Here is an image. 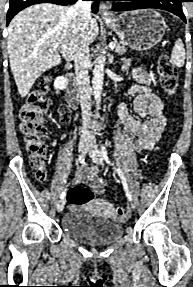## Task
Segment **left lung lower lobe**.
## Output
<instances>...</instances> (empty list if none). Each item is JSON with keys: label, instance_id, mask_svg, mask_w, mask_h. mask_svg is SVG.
Listing matches in <instances>:
<instances>
[{"label": "left lung lower lobe", "instance_id": "0a47b994", "mask_svg": "<svg viewBox=\"0 0 193 287\" xmlns=\"http://www.w3.org/2000/svg\"><path fill=\"white\" fill-rule=\"evenodd\" d=\"M111 1H131L126 4H114L112 9L114 11H129L144 8H156L169 11L179 16L186 22L185 15L182 10L181 3L185 0H111Z\"/></svg>", "mask_w": 193, "mask_h": 287}]
</instances>
